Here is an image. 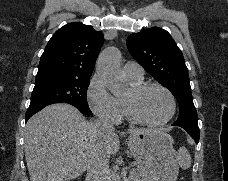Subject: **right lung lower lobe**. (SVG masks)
Wrapping results in <instances>:
<instances>
[{
	"instance_id": "98d812e1",
	"label": "right lung lower lobe",
	"mask_w": 228,
	"mask_h": 181,
	"mask_svg": "<svg viewBox=\"0 0 228 181\" xmlns=\"http://www.w3.org/2000/svg\"><path fill=\"white\" fill-rule=\"evenodd\" d=\"M45 106H40V107H29L27 112H26V121L36 112L40 111L43 109Z\"/></svg>"
}]
</instances>
